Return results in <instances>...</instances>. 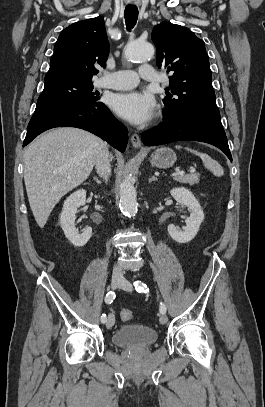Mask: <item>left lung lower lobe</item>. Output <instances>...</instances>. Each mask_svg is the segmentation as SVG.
Here are the masks:
<instances>
[{
  "mask_svg": "<svg viewBox=\"0 0 265 407\" xmlns=\"http://www.w3.org/2000/svg\"><path fill=\"white\" fill-rule=\"evenodd\" d=\"M180 140H194L212 144L221 149L232 161L225 131L217 130L193 120L162 121L157 127L142 134L147 146L161 145Z\"/></svg>",
  "mask_w": 265,
  "mask_h": 407,
  "instance_id": "obj_1",
  "label": "left lung lower lobe"
}]
</instances>
